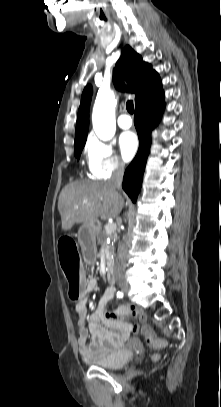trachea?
I'll use <instances>...</instances> for the list:
<instances>
[{
    "label": "trachea",
    "mask_w": 221,
    "mask_h": 407,
    "mask_svg": "<svg viewBox=\"0 0 221 407\" xmlns=\"http://www.w3.org/2000/svg\"><path fill=\"white\" fill-rule=\"evenodd\" d=\"M126 109L128 110L129 113L133 114L134 113V105L132 100H128L126 103Z\"/></svg>",
    "instance_id": "1"
}]
</instances>
